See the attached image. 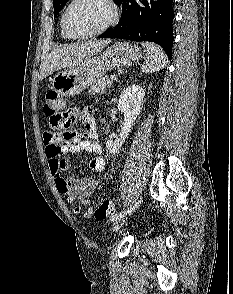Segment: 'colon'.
Listing matches in <instances>:
<instances>
[{
	"mask_svg": "<svg viewBox=\"0 0 233 294\" xmlns=\"http://www.w3.org/2000/svg\"><path fill=\"white\" fill-rule=\"evenodd\" d=\"M61 108H63V106L61 101L59 100L57 93L53 91L47 92L44 97V106H43L44 114L47 117H51V114H53V110H61ZM78 210H79V207H76L75 211L77 212ZM113 212H114L113 201L105 200L94 211V219L96 221L105 220Z\"/></svg>",
	"mask_w": 233,
	"mask_h": 294,
	"instance_id": "obj_1",
	"label": "colon"
}]
</instances>
